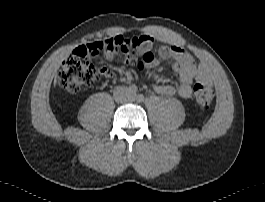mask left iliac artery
<instances>
[{"mask_svg": "<svg viewBox=\"0 0 265 202\" xmlns=\"http://www.w3.org/2000/svg\"><path fill=\"white\" fill-rule=\"evenodd\" d=\"M144 100V96L142 95V94H139L138 96H137V101L138 102H142Z\"/></svg>", "mask_w": 265, "mask_h": 202, "instance_id": "obj_1", "label": "left iliac artery"}]
</instances>
